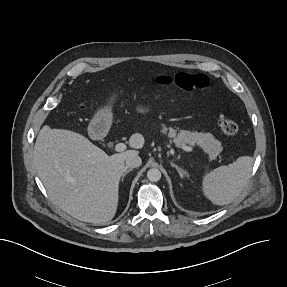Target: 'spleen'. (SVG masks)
I'll return each mask as SVG.
<instances>
[{"label": "spleen", "instance_id": "3e777b00", "mask_svg": "<svg viewBox=\"0 0 287 287\" xmlns=\"http://www.w3.org/2000/svg\"><path fill=\"white\" fill-rule=\"evenodd\" d=\"M252 166V157L242 156L207 173L202 181L204 195L215 205L231 203L246 186Z\"/></svg>", "mask_w": 287, "mask_h": 287}]
</instances>
